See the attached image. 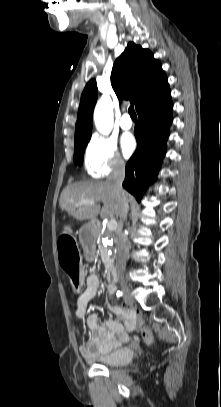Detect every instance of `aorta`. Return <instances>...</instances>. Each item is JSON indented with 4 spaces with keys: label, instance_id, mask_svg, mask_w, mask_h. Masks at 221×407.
I'll return each instance as SVG.
<instances>
[{
    "label": "aorta",
    "instance_id": "1",
    "mask_svg": "<svg viewBox=\"0 0 221 407\" xmlns=\"http://www.w3.org/2000/svg\"><path fill=\"white\" fill-rule=\"evenodd\" d=\"M94 122L102 134H109L113 128V105L107 96H102L94 110Z\"/></svg>",
    "mask_w": 221,
    "mask_h": 407
}]
</instances>
